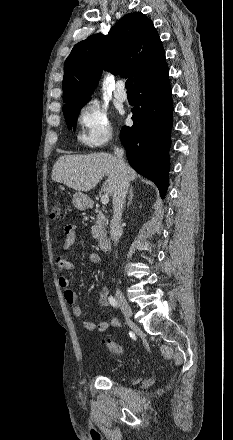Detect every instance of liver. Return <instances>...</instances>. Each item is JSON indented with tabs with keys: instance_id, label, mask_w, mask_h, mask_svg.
Listing matches in <instances>:
<instances>
[{
	"instance_id": "obj_1",
	"label": "liver",
	"mask_w": 233,
	"mask_h": 440,
	"mask_svg": "<svg viewBox=\"0 0 233 440\" xmlns=\"http://www.w3.org/2000/svg\"><path fill=\"white\" fill-rule=\"evenodd\" d=\"M125 172L128 181L136 179L137 173L127 164ZM105 175L107 179L102 189L112 195L120 175L117 159L109 153L100 152L59 157L53 166L51 178L74 190L86 192L93 189Z\"/></svg>"
}]
</instances>
